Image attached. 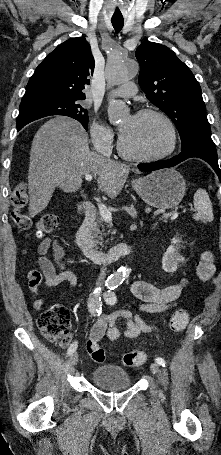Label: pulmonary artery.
<instances>
[{
	"label": "pulmonary artery",
	"mask_w": 221,
	"mask_h": 455,
	"mask_svg": "<svg viewBox=\"0 0 221 455\" xmlns=\"http://www.w3.org/2000/svg\"><path fill=\"white\" fill-rule=\"evenodd\" d=\"M137 93V86L133 82H126L113 91L114 97L129 98Z\"/></svg>",
	"instance_id": "pulmonary-artery-1"
}]
</instances>
